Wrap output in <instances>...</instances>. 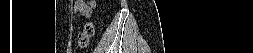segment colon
<instances>
[{"label": "colon", "mask_w": 253, "mask_h": 53, "mask_svg": "<svg viewBox=\"0 0 253 53\" xmlns=\"http://www.w3.org/2000/svg\"><path fill=\"white\" fill-rule=\"evenodd\" d=\"M95 32L92 22H87L83 30L77 36V44L80 48H86Z\"/></svg>", "instance_id": "1"}]
</instances>
